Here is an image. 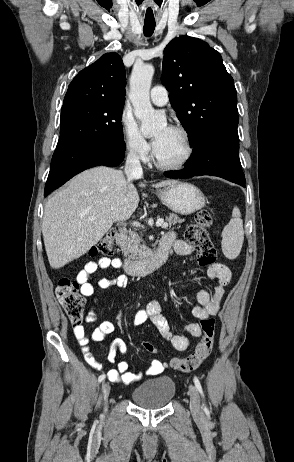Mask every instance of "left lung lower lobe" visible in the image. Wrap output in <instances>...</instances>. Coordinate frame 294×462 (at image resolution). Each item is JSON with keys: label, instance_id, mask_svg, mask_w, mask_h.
<instances>
[{"label": "left lung lower lobe", "instance_id": "obj_1", "mask_svg": "<svg viewBox=\"0 0 294 462\" xmlns=\"http://www.w3.org/2000/svg\"><path fill=\"white\" fill-rule=\"evenodd\" d=\"M238 116L215 126L209 135L192 147L195 154L184 169L168 171L167 177L186 178L201 175L218 176L245 187V176L239 160Z\"/></svg>", "mask_w": 294, "mask_h": 462}]
</instances>
